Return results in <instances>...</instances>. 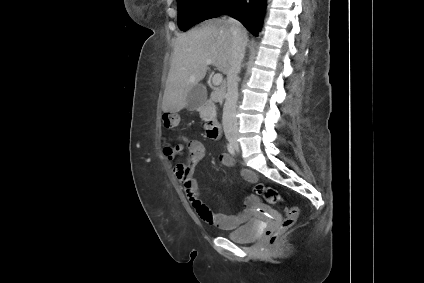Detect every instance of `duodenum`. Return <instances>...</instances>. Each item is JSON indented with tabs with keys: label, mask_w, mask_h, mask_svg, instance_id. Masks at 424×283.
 <instances>
[{
	"label": "duodenum",
	"mask_w": 424,
	"mask_h": 283,
	"mask_svg": "<svg viewBox=\"0 0 424 283\" xmlns=\"http://www.w3.org/2000/svg\"><path fill=\"white\" fill-rule=\"evenodd\" d=\"M205 128L208 137L219 139L221 136V125L215 116H209L205 119Z\"/></svg>",
	"instance_id": "410a0bca"
}]
</instances>
